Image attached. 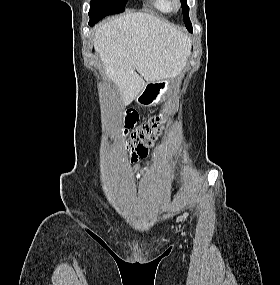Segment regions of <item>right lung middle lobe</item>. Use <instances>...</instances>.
<instances>
[{
	"label": "right lung middle lobe",
	"mask_w": 280,
	"mask_h": 285,
	"mask_svg": "<svg viewBox=\"0 0 280 285\" xmlns=\"http://www.w3.org/2000/svg\"><path fill=\"white\" fill-rule=\"evenodd\" d=\"M125 2V0H91L89 25L93 26L107 15L123 12Z\"/></svg>",
	"instance_id": "right-lung-middle-lobe-1"
}]
</instances>
